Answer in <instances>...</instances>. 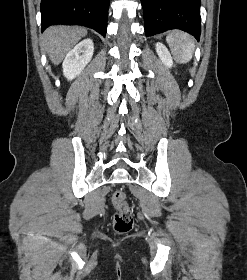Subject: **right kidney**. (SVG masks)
Returning a JSON list of instances; mask_svg holds the SVG:
<instances>
[{
  "mask_svg": "<svg viewBox=\"0 0 247 280\" xmlns=\"http://www.w3.org/2000/svg\"><path fill=\"white\" fill-rule=\"evenodd\" d=\"M94 52L91 39H85L78 43L65 57L63 61V74L68 80L74 79L90 62Z\"/></svg>",
  "mask_w": 247,
  "mask_h": 280,
  "instance_id": "1",
  "label": "right kidney"
}]
</instances>
